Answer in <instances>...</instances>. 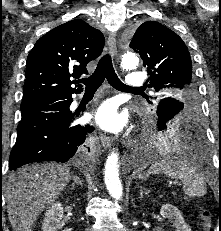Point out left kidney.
Instances as JSON below:
<instances>
[{
  "label": "left kidney",
  "instance_id": "obj_1",
  "mask_svg": "<svg viewBox=\"0 0 221 231\" xmlns=\"http://www.w3.org/2000/svg\"><path fill=\"white\" fill-rule=\"evenodd\" d=\"M160 214L163 218H168L174 231H191V228L186 224L180 210L172 204H164L160 209Z\"/></svg>",
  "mask_w": 221,
  "mask_h": 231
}]
</instances>
